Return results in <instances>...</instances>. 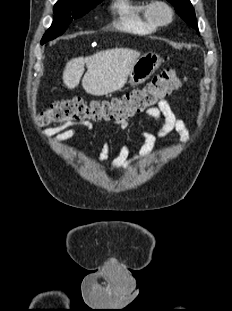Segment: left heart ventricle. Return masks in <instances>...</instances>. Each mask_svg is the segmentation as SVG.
<instances>
[{"label":"left heart ventricle","mask_w":232,"mask_h":311,"mask_svg":"<svg viewBox=\"0 0 232 311\" xmlns=\"http://www.w3.org/2000/svg\"><path fill=\"white\" fill-rule=\"evenodd\" d=\"M160 15H161V17H163V18L166 17V14H165L163 11L160 12Z\"/></svg>","instance_id":"obj_1"}]
</instances>
